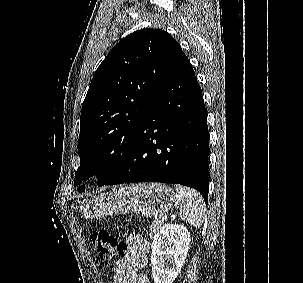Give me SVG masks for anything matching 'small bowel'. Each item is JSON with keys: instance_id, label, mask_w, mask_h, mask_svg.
Wrapping results in <instances>:
<instances>
[{"instance_id": "obj_1", "label": "small bowel", "mask_w": 303, "mask_h": 283, "mask_svg": "<svg viewBox=\"0 0 303 283\" xmlns=\"http://www.w3.org/2000/svg\"><path fill=\"white\" fill-rule=\"evenodd\" d=\"M150 246L138 233H131L125 239V251L113 268L114 283H150L147 275L139 271L146 266Z\"/></svg>"}]
</instances>
